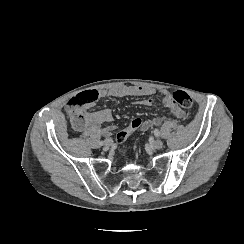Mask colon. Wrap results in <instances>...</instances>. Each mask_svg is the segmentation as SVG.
I'll return each instance as SVG.
<instances>
[{"mask_svg": "<svg viewBox=\"0 0 244 244\" xmlns=\"http://www.w3.org/2000/svg\"><path fill=\"white\" fill-rule=\"evenodd\" d=\"M173 103L183 107L189 108L192 106L193 101L190 95L184 90H177L173 93ZM69 110L72 113V122L75 128L83 126L87 122V117L83 113L82 108L80 106H73L72 102H68ZM143 122V117H137L136 121L132 122V125H129V129H125L123 133L119 132L116 136L118 142H123L125 140V136L134 132V129L139 126Z\"/></svg>", "mask_w": 244, "mask_h": 244, "instance_id": "5ec220e1", "label": "colon"}]
</instances>
